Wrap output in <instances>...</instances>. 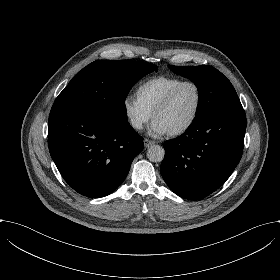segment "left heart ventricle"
<instances>
[{"label": "left heart ventricle", "mask_w": 280, "mask_h": 280, "mask_svg": "<svg viewBox=\"0 0 280 280\" xmlns=\"http://www.w3.org/2000/svg\"><path fill=\"white\" fill-rule=\"evenodd\" d=\"M198 103L197 89L193 84L181 87L170 105L156 118L161 119L170 131L185 125L193 117Z\"/></svg>", "instance_id": "1"}]
</instances>
